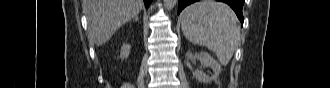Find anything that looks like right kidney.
<instances>
[{
	"label": "right kidney",
	"mask_w": 330,
	"mask_h": 88,
	"mask_svg": "<svg viewBox=\"0 0 330 88\" xmlns=\"http://www.w3.org/2000/svg\"><path fill=\"white\" fill-rule=\"evenodd\" d=\"M131 46L129 44H124L121 48L120 58L125 59L129 56Z\"/></svg>",
	"instance_id": "1"
}]
</instances>
